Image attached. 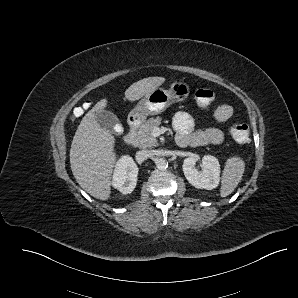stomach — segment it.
<instances>
[{"instance_id": "stomach-1", "label": "stomach", "mask_w": 298, "mask_h": 298, "mask_svg": "<svg viewBox=\"0 0 298 298\" xmlns=\"http://www.w3.org/2000/svg\"><path fill=\"white\" fill-rule=\"evenodd\" d=\"M189 94V85L184 82H173L169 89L158 87L138 102L131 115L144 121L147 116L161 114L171 104L184 101Z\"/></svg>"}]
</instances>
